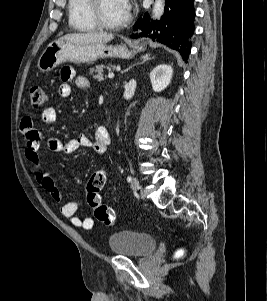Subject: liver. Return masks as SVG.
I'll return each mask as SVG.
<instances>
[{"mask_svg":"<svg viewBox=\"0 0 267 301\" xmlns=\"http://www.w3.org/2000/svg\"><path fill=\"white\" fill-rule=\"evenodd\" d=\"M114 35L99 32L71 33L61 37L58 41L71 43H107L113 40Z\"/></svg>","mask_w":267,"mask_h":301,"instance_id":"1","label":"liver"}]
</instances>
